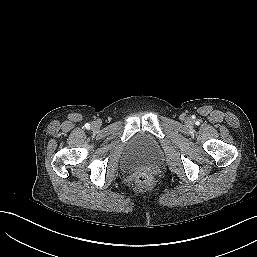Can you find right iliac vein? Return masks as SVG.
Segmentation results:
<instances>
[{"label": "right iliac vein", "instance_id": "right-iliac-vein-1", "mask_svg": "<svg viewBox=\"0 0 257 257\" xmlns=\"http://www.w3.org/2000/svg\"><path fill=\"white\" fill-rule=\"evenodd\" d=\"M98 127H99V125L96 122H93L92 125H91L92 130H97Z\"/></svg>", "mask_w": 257, "mask_h": 257}]
</instances>
